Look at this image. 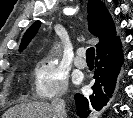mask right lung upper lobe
Masks as SVG:
<instances>
[{"mask_svg":"<svg viewBox=\"0 0 133 118\" xmlns=\"http://www.w3.org/2000/svg\"><path fill=\"white\" fill-rule=\"evenodd\" d=\"M88 21L90 32L99 37V43L96 45L97 51L108 46L118 38L116 36L114 22L100 0L88 1ZM40 24V21H36L29 27L22 38L20 50H23L35 36Z\"/></svg>","mask_w":133,"mask_h":118,"instance_id":"obj_1","label":"right lung upper lobe"}]
</instances>
